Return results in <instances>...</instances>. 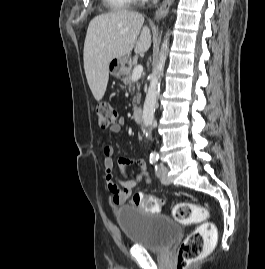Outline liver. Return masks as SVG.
Returning a JSON list of instances; mask_svg holds the SVG:
<instances>
[{"instance_id":"liver-1","label":"liver","mask_w":265,"mask_h":269,"mask_svg":"<svg viewBox=\"0 0 265 269\" xmlns=\"http://www.w3.org/2000/svg\"><path fill=\"white\" fill-rule=\"evenodd\" d=\"M140 13L118 10L96 16L89 23L83 51L84 70L94 98L100 101L106 91L113 58L145 53L151 46V33Z\"/></svg>"}]
</instances>
